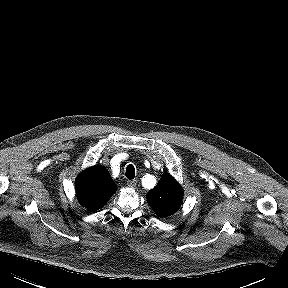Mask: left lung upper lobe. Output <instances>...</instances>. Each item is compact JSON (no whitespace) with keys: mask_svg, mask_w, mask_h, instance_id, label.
Wrapping results in <instances>:
<instances>
[{"mask_svg":"<svg viewBox=\"0 0 288 288\" xmlns=\"http://www.w3.org/2000/svg\"><path fill=\"white\" fill-rule=\"evenodd\" d=\"M182 193L178 182L171 175L165 174L157 186L148 192L147 201L159 217H165L179 209Z\"/></svg>","mask_w":288,"mask_h":288,"instance_id":"1","label":"left lung upper lobe"}]
</instances>
